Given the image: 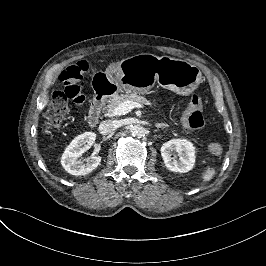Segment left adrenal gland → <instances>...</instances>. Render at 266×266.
<instances>
[{"instance_id": "obj_1", "label": "left adrenal gland", "mask_w": 266, "mask_h": 266, "mask_svg": "<svg viewBox=\"0 0 266 266\" xmlns=\"http://www.w3.org/2000/svg\"><path fill=\"white\" fill-rule=\"evenodd\" d=\"M156 129H161V128H168L169 126L163 123H159L155 125Z\"/></svg>"}]
</instances>
